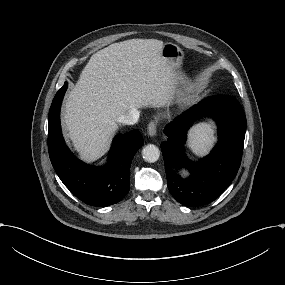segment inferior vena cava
<instances>
[{
  "label": "inferior vena cava",
  "instance_id": "inferior-vena-cava-1",
  "mask_svg": "<svg viewBox=\"0 0 285 285\" xmlns=\"http://www.w3.org/2000/svg\"><path fill=\"white\" fill-rule=\"evenodd\" d=\"M139 116L140 112L136 108H132L126 114L121 115L117 121L124 125H133L137 123Z\"/></svg>",
  "mask_w": 285,
  "mask_h": 285
}]
</instances>
